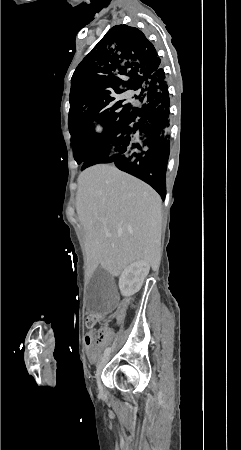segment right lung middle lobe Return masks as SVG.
<instances>
[{"label":"right lung middle lobe","instance_id":"1","mask_svg":"<svg viewBox=\"0 0 241 450\" xmlns=\"http://www.w3.org/2000/svg\"><path fill=\"white\" fill-rule=\"evenodd\" d=\"M145 101L141 96L127 97L120 89L113 86L97 85L75 77L71 79L69 130L72 134L75 127L87 122L93 135V144L96 145L115 128L125 122L135 120L143 111ZM93 121H98L104 126L101 135L94 134ZM143 141V137L136 134L130 141L116 149L119 157L133 149ZM78 164H82V170L87 157L80 154L74 155Z\"/></svg>","mask_w":241,"mask_h":450}]
</instances>
